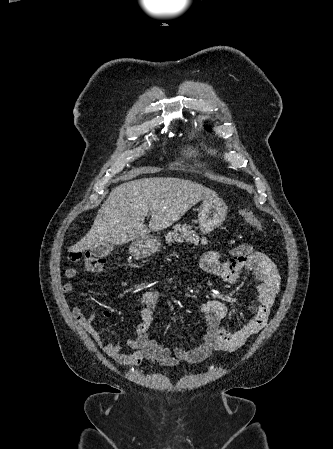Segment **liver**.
<instances>
[{"label": "liver", "instance_id": "1", "mask_svg": "<svg viewBox=\"0 0 333 449\" xmlns=\"http://www.w3.org/2000/svg\"><path fill=\"white\" fill-rule=\"evenodd\" d=\"M212 189L197 182L173 177L143 178L115 187L102 204L89 232L69 251L84 252L105 245H123L145 238L178 221L191 207L217 198ZM151 213L149 229L145 217Z\"/></svg>", "mask_w": 333, "mask_h": 449}]
</instances>
